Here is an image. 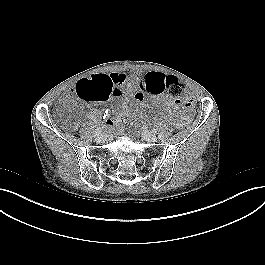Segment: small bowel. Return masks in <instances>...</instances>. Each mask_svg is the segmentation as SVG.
Segmentation results:
<instances>
[{
	"mask_svg": "<svg viewBox=\"0 0 265 265\" xmlns=\"http://www.w3.org/2000/svg\"><path fill=\"white\" fill-rule=\"evenodd\" d=\"M166 76L167 74L161 71L146 70L137 75L123 73L96 74L81 80L92 81L96 78H104L108 81L114 96H123L124 94H133L136 91H141L153 97V105L162 106L170 113H175L179 109V104L164 94L167 89L164 82ZM99 117L100 114L97 111H91L88 114V118L91 120H97ZM117 123V120L107 119L104 125L107 128H111L116 126Z\"/></svg>",
	"mask_w": 265,
	"mask_h": 265,
	"instance_id": "small-bowel-1",
	"label": "small bowel"
}]
</instances>
